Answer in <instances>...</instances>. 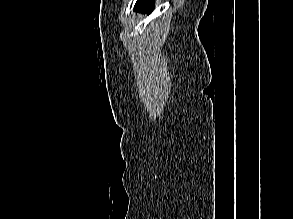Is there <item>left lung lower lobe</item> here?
I'll return each mask as SVG.
<instances>
[{
	"mask_svg": "<svg viewBox=\"0 0 293 219\" xmlns=\"http://www.w3.org/2000/svg\"><path fill=\"white\" fill-rule=\"evenodd\" d=\"M154 9V0H137L134 10L151 13Z\"/></svg>",
	"mask_w": 293,
	"mask_h": 219,
	"instance_id": "1",
	"label": "left lung lower lobe"
}]
</instances>
